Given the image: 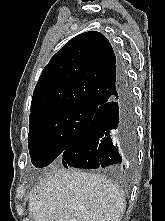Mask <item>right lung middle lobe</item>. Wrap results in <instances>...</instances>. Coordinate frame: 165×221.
<instances>
[{"mask_svg":"<svg viewBox=\"0 0 165 221\" xmlns=\"http://www.w3.org/2000/svg\"><path fill=\"white\" fill-rule=\"evenodd\" d=\"M95 108L65 106L29 117L28 147L35 167H45L60 156L93 119Z\"/></svg>","mask_w":165,"mask_h":221,"instance_id":"dd1d6c3e","label":"right lung middle lobe"}]
</instances>
